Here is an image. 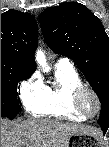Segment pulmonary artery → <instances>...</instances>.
<instances>
[{
	"instance_id": "pulmonary-artery-1",
	"label": "pulmonary artery",
	"mask_w": 109,
	"mask_h": 147,
	"mask_svg": "<svg viewBox=\"0 0 109 147\" xmlns=\"http://www.w3.org/2000/svg\"><path fill=\"white\" fill-rule=\"evenodd\" d=\"M56 66H60V67H72L73 66V63L67 57H59L57 59Z\"/></svg>"
}]
</instances>
